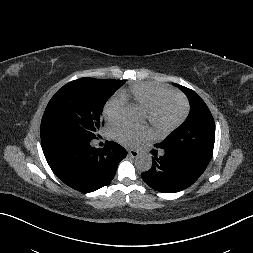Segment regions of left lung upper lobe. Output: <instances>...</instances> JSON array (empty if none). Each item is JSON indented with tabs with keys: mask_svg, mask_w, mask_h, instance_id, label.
<instances>
[{
	"mask_svg": "<svg viewBox=\"0 0 253 253\" xmlns=\"http://www.w3.org/2000/svg\"><path fill=\"white\" fill-rule=\"evenodd\" d=\"M190 102V113L185 123L174 130L157 148L175 149L191 153L209 162L215 141L213 116L203 99L193 90L177 85Z\"/></svg>",
	"mask_w": 253,
	"mask_h": 253,
	"instance_id": "1",
	"label": "left lung upper lobe"
}]
</instances>
